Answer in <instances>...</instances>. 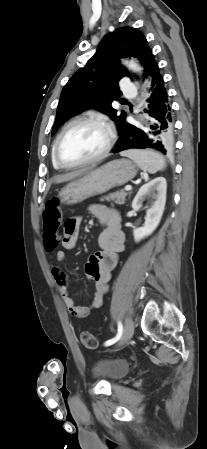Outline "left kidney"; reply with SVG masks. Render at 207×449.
<instances>
[{"mask_svg":"<svg viewBox=\"0 0 207 449\" xmlns=\"http://www.w3.org/2000/svg\"><path fill=\"white\" fill-rule=\"evenodd\" d=\"M166 190V179L164 177H156L144 184L137 192V195L132 202V208L135 211H138L142 207L145 198H152L154 201L146 212L144 226L136 228L133 231L135 242H139L151 235L159 225L165 208Z\"/></svg>","mask_w":207,"mask_h":449,"instance_id":"obj_1","label":"left kidney"}]
</instances>
